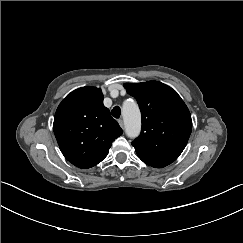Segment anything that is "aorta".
Listing matches in <instances>:
<instances>
[{
	"instance_id": "obj_1",
	"label": "aorta",
	"mask_w": 243,
	"mask_h": 243,
	"mask_svg": "<svg viewBox=\"0 0 243 243\" xmlns=\"http://www.w3.org/2000/svg\"><path fill=\"white\" fill-rule=\"evenodd\" d=\"M125 133L129 138L139 136L141 131V113L135 101L125 100L121 111Z\"/></svg>"
}]
</instances>
